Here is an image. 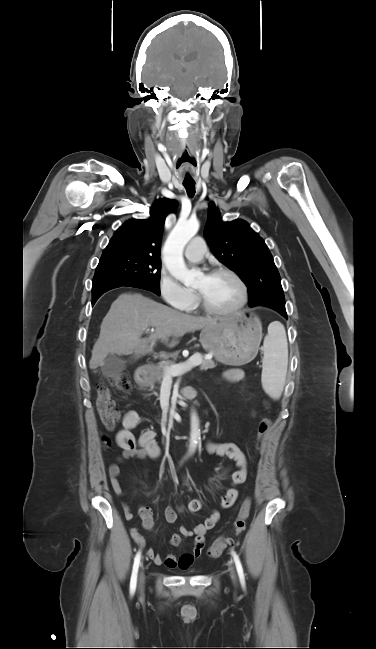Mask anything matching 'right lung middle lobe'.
<instances>
[{
    "label": "right lung middle lobe",
    "mask_w": 376,
    "mask_h": 649,
    "mask_svg": "<svg viewBox=\"0 0 376 649\" xmlns=\"http://www.w3.org/2000/svg\"><path fill=\"white\" fill-rule=\"evenodd\" d=\"M160 255L121 252L101 256L92 281V291L104 285H142L160 295Z\"/></svg>",
    "instance_id": "right-lung-middle-lobe-1"
}]
</instances>
